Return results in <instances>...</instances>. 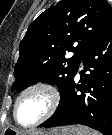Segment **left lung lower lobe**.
Here are the masks:
<instances>
[{"label": "left lung lower lobe", "instance_id": "left-lung-lower-lobe-1", "mask_svg": "<svg viewBox=\"0 0 112 135\" xmlns=\"http://www.w3.org/2000/svg\"><path fill=\"white\" fill-rule=\"evenodd\" d=\"M80 80L71 79L55 113L39 127L81 124L112 135V24L83 56ZM88 74H85V72Z\"/></svg>", "mask_w": 112, "mask_h": 135}]
</instances>
